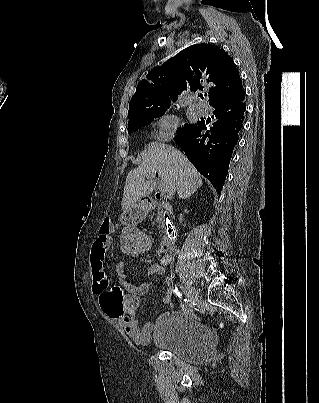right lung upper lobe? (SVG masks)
I'll return each instance as SVG.
<instances>
[{
  "instance_id": "obj_1",
  "label": "right lung upper lobe",
  "mask_w": 319,
  "mask_h": 403,
  "mask_svg": "<svg viewBox=\"0 0 319 403\" xmlns=\"http://www.w3.org/2000/svg\"><path fill=\"white\" fill-rule=\"evenodd\" d=\"M180 86L191 91L211 86V106L243 96L244 89L233 59L220 47L196 44L187 47L142 80L129 103V121L177 100ZM182 90V88H181Z\"/></svg>"
}]
</instances>
